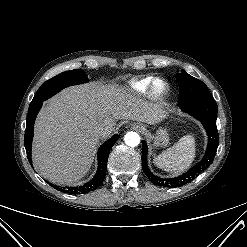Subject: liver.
<instances>
[{"instance_id": "6515ba94", "label": "liver", "mask_w": 247, "mask_h": 247, "mask_svg": "<svg viewBox=\"0 0 247 247\" xmlns=\"http://www.w3.org/2000/svg\"><path fill=\"white\" fill-rule=\"evenodd\" d=\"M168 114L115 84L100 82L66 88L48 101L35 123L32 157L35 169L47 180L69 185L84 177L100 140L110 137L118 119L154 124ZM98 124L108 127L97 136Z\"/></svg>"}]
</instances>
